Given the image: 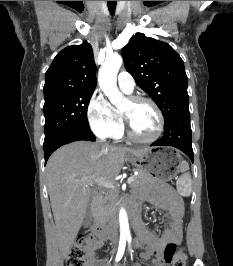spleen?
Instances as JSON below:
<instances>
[{"instance_id": "obj_1", "label": "spleen", "mask_w": 233, "mask_h": 266, "mask_svg": "<svg viewBox=\"0 0 233 266\" xmlns=\"http://www.w3.org/2000/svg\"><path fill=\"white\" fill-rule=\"evenodd\" d=\"M180 169L183 172L181 177L179 178L177 182V191L180 195L182 196H189L191 194V176L190 173L188 172L189 170V165L186 161H183L180 164Z\"/></svg>"}]
</instances>
